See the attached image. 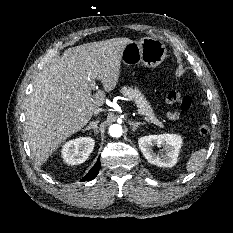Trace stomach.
Returning <instances> with one entry per match:
<instances>
[{"label": "stomach", "mask_w": 233, "mask_h": 233, "mask_svg": "<svg viewBox=\"0 0 233 233\" xmlns=\"http://www.w3.org/2000/svg\"><path fill=\"white\" fill-rule=\"evenodd\" d=\"M166 53L163 42L155 38L144 37L126 45L122 60L127 65L141 63L145 67L154 68L164 61Z\"/></svg>", "instance_id": "1"}]
</instances>
